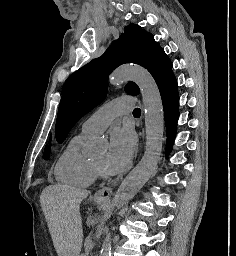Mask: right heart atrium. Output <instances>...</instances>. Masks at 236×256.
I'll use <instances>...</instances> for the list:
<instances>
[{
  "label": "right heart atrium",
  "instance_id": "obj_1",
  "mask_svg": "<svg viewBox=\"0 0 236 256\" xmlns=\"http://www.w3.org/2000/svg\"><path fill=\"white\" fill-rule=\"evenodd\" d=\"M99 178V173L96 171V179Z\"/></svg>",
  "mask_w": 236,
  "mask_h": 256
}]
</instances>
